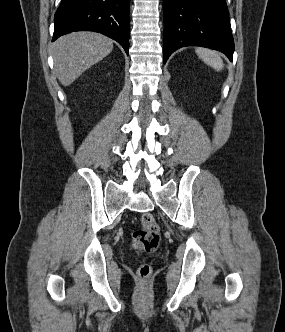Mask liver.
<instances>
[{
    "label": "liver",
    "instance_id": "liver-1",
    "mask_svg": "<svg viewBox=\"0 0 285 332\" xmlns=\"http://www.w3.org/2000/svg\"><path fill=\"white\" fill-rule=\"evenodd\" d=\"M112 49L113 41L95 32H74L60 37L52 48L57 78L63 86H69Z\"/></svg>",
    "mask_w": 285,
    "mask_h": 332
}]
</instances>
